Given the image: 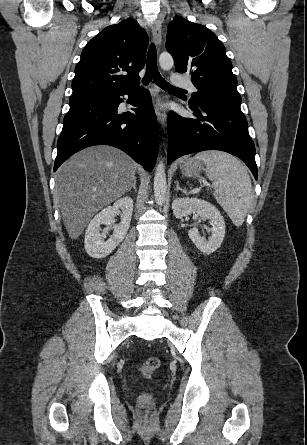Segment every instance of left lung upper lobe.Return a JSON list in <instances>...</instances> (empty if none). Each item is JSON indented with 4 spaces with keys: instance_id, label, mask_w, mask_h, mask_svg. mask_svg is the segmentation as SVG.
<instances>
[{
    "instance_id": "5c2ea615",
    "label": "left lung upper lobe",
    "mask_w": 307,
    "mask_h": 445,
    "mask_svg": "<svg viewBox=\"0 0 307 445\" xmlns=\"http://www.w3.org/2000/svg\"><path fill=\"white\" fill-rule=\"evenodd\" d=\"M166 47L174 58L176 71L190 72L198 89L189 100L190 107L223 106L241 110L232 63L223 43L211 30L176 16L168 26Z\"/></svg>"
}]
</instances>
